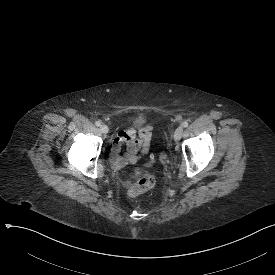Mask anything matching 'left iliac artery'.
I'll return each instance as SVG.
<instances>
[{"mask_svg": "<svg viewBox=\"0 0 275 275\" xmlns=\"http://www.w3.org/2000/svg\"><path fill=\"white\" fill-rule=\"evenodd\" d=\"M182 126H183L184 128L188 127V122H187V121H184V122L182 123Z\"/></svg>", "mask_w": 275, "mask_h": 275, "instance_id": "44dca946", "label": "left iliac artery"}]
</instances>
